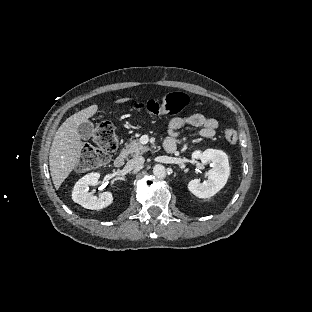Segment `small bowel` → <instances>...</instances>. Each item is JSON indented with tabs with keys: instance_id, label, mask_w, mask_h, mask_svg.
Wrapping results in <instances>:
<instances>
[{
	"instance_id": "obj_1",
	"label": "small bowel",
	"mask_w": 312,
	"mask_h": 312,
	"mask_svg": "<svg viewBox=\"0 0 312 312\" xmlns=\"http://www.w3.org/2000/svg\"><path fill=\"white\" fill-rule=\"evenodd\" d=\"M187 126L199 127L202 137L211 138L215 135L219 122L215 118L206 117L200 113L173 117L168 123V136L165 142L176 144L180 130Z\"/></svg>"
}]
</instances>
